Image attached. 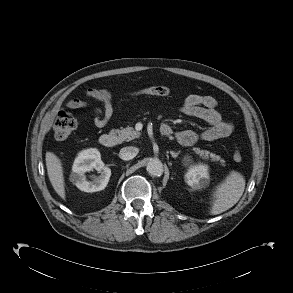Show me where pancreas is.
I'll return each mask as SVG.
<instances>
[{"instance_id":"pancreas-1","label":"pancreas","mask_w":293,"mask_h":293,"mask_svg":"<svg viewBox=\"0 0 293 293\" xmlns=\"http://www.w3.org/2000/svg\"><path fill=\"white\" fill-rule=\"evenodd\" d=\"M115 133L118 134V139L120 142L130 141L140 137V132L134 130L132 127L129 126L121 130H116ZM192 150L195 154L199 155L203 159L210 158L211 161L220 162L222 165H224L225 163L224 159H222L219 155L210 153L207 150H201L200 148H193Z\"/></svg>"}]
</instances>
